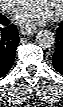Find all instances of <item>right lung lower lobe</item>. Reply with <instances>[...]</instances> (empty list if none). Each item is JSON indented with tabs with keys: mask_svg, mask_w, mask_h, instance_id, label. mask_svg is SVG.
I'll list each match as a JSON object with an SVG mask.
<instances>
[{
	"mask_svg": "<svg viewBox=\"0 0 63 107\" xmlns=\"http://www.w3.org/2000/svg\"><path fill=\"white\" fill-rule=\"evenodd\" d=\"M9 20L0 14V24L5 25L0 27V77L6 75L16 55V47L19 43V35L16 26L9 25Z\"/></svg>",
	"mask_w": 63,
	"mask_h": 107,
	"instance_id": "98d812e1",
	"label": "right lung lower lobe"
}]
</instances>
